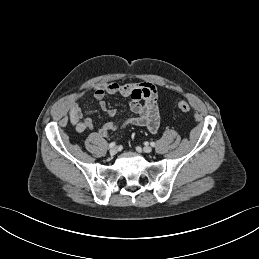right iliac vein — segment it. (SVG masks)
Instances as JSON below:
<instances>
[{
  "mask_svg": "<svg viewBox=\"0 0 259 259\" xmlns=\"http://www.w3.org/2000/svg\"><path fill=\"white\" fill-rule=\"evenodd\" d=\"M117 152H118L117 147H113V148H112V149H110V151H109V153H110V155H111V156L116 155V154H117Z\"/></svg>",
  "mask_w": 259,
  "mask_h": 259,
  "instance_id": "right-iliac-vein-1",
  "label": "right iliac vein"
}]
</instances>
